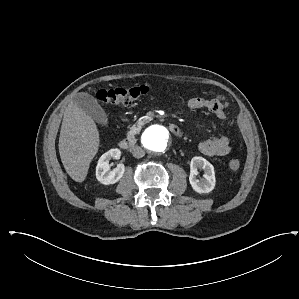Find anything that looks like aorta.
<instances>
[{"label":"aorta","instance_id":"obj_1","mask_svg":"<svg viewBox=\"0 0 299 299\" xmlns=\"http://www.w3.org/2000/svg\"><path fill=\"white\" fill-rule=\"evenodd\" d=\"M171 141L168 130L159 125L149 127L142 136L144 147L153 153L164 152Z\"/></svg>","mask_w":299,"mask_h":299}]
</instances>
